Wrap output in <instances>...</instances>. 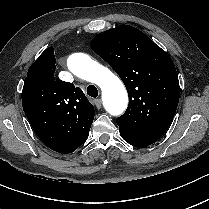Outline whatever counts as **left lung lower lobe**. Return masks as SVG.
<instances>
[{
    "instance_id": "left-lung-lower-lobe-1",
    "label": "left lung lower lobe",
    "mask_w": 209,
    "mask_h": 209,
    "mask_svg": "<svg viewBox=\"0 0 209 209\" xmlns=\"http://www.w3.org/2000/svg\"><path fill=\"white\" fill-rule=\"evenodd\" d=\"M121 136L122 138L129 144L135 146V147H139V148H143V147H146L148 146V144H145V143H142L140 141H137L135 139H133L132 137L128 136V135H125V134H122L121 133Z\"/></svg>"
}]
</instances>
